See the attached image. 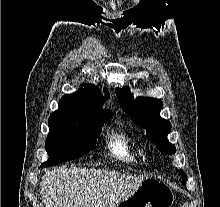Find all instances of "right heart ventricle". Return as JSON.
<instances>
[{"mask_svg":"<svg viewBox=\"0 0 220 207\" xmlns=\"http://www.w3.org/2000/svg\"><path fill=\"white\" fill-rule=\"evenodd\" d=\"M108 149L112 156L129 164H137L142 156L140 150L122 134L113 135L109 139Z\"/></svg>","mask_w":220,"mask_h":207,"instance_id":"obj_1","label":"right heart ventricle"}]
</instances>
